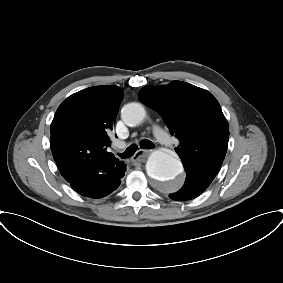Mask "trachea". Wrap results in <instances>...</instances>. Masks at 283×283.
Wrapping results in <instances>:
<instances>
[{
  "mask_svg": "<svg viewBox=\"0 0 283 283\" xmlns=\"http://www.w3.org/2000/svg\"><path fill=\"white\" fill-rule=\"evenodd\" d=\"M140 147L143 149H151V148H154L155 146H154V143L151 142L150 140L143 139L140 142ZM136 150H137V146L135 144H132L125 150V152L118 153V155L122 159L129 158L136 152Z\"/></svg>",
  "mask_w": 283,
  "mask_h": 283,
  "instance_id": "obj_1",
  "label": "trachea"
}]
</instances>
